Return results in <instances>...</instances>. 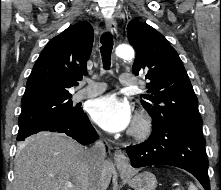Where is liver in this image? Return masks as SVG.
<instances>
[{"mask_svg":"<svg viewBox=\"0 0 221 190\" xmlns=\"http://www.w3.org/2000/svg\"><path fill=\"white\" fill-rule=\"evenodd\" d=\"M14 170L13 190H89L96 181L106 190L114 165L105 161L96 172L83 146L64 135L42 132L20 144Z\"/></svg>","mask_w":221,"mask_h":190,"instance_id":"1","label":"liver"}]
</instances>
